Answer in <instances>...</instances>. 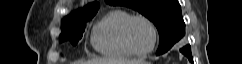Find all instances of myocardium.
<instances>
[{"mask_svg": "<svg viewBox=\"0 0 242 64\" xmlns=\"http://www.w3.org/2000/svg\"><path fill=\"white\" fill-rule=\"evenodd\" d=\"M135 20H143V21H145L148 24V26L150 27L151 31H152V35H153L152 45H151V47L149 49H147L145 51H137L132 46V44H131V42L129 40V28H130V25L132 24V22L135 21ZM122 40H123V43H124L125 47L133 55H136V56H146V55L150 54L151 52H153L154 49H155V47H156V45H157V41H158V31H157V28H156L155 24L147 16L142 15V14L131 15L126 20V22L123 25V28H122Z\"/></svg>", "mask_w": 242, "mask_h": 64, "instance_id": "obj_1", "label": "myocardium"}]
</instances>
